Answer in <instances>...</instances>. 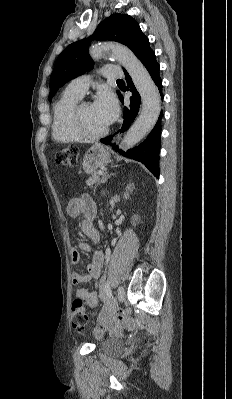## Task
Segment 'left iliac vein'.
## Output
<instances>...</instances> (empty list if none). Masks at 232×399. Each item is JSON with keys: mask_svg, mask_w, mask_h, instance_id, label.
<instances>
[{"mask_svg": "<svg viewBox=\"0 0 232 399\" xmlns=\"http://www.w3.org/2000/svg\"><path fill=\"white\" fill-rule=\"evenodd\" d=\"M125 293H126V288H122L120 286L119 291H118V302L122 303L123 299L125 298Z\"/></svg>", "mask_w": 232, "mask_h": 399, "instance_id": "obj_1", "label": "left iliac vein"}]
</instances>
